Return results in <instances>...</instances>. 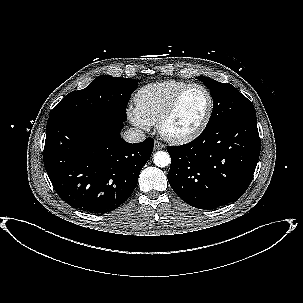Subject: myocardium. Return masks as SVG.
<instances>
[{
  "label": "myocardium",
  "instance_id": "1",
  "mask_svg": "<svg viewBox=\"0 0 303 303\" xmlns=\"http://www.w3.org/2000/svg\"><path fill=\"white\" fill-rule=\"evenodd\" d=\"M192 88H200L201 90L204 91V93L207 96L208 106H207V110H206L202 120L193 130H191L188 133L179 134V135L168 133L166 131V124L168 123V121L172 118V116L176 112V110H177L181 100L185 96V94ZM213 109H214V102H213L212 94L209 91V89L199 83H190L176 94V96L172 99V101L169 103L167 108L160 115V117L157 121L158 132L164 139H166L169 142L175 143V144H185V143L191 142L194 139H196L198 136H200L203 133V131L206 129V127L211 119Z\"/></svg>",
  "mask_w": 303,
  "mask_h": 303
}]
</instances>
